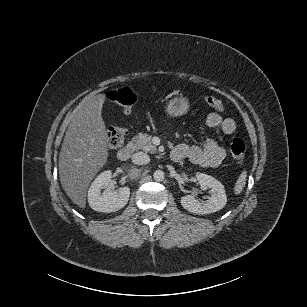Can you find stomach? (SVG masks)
I'll return each instance as SVG.
<instances>
[{
  "label": "stomach",
  "mask_w": 307,
  "mask_h": 307,
  "mask_svg": "<svg viewBox=\"0 0 307 307\" xmlns=\"http://www.w3.org/2000/svg\"><path fill=\"white\" fill-rule=\"evenodd\" d=\"M192 107L190 98L183 94H178L170 98L164 106V113L168 118L179 119L187 115Z\"/></svg>",
  "instance_id": "0dacf381"
}]
</instances>
